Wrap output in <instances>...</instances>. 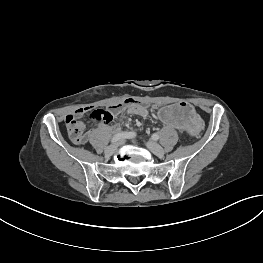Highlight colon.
I'll return each instance as SVG.
<instances>
[{
    "label": "colon",
    "instance_id": "1",
    "mask_svg": "<svg viewBox=\"0 0 263 263\" xmlns=\"http://www.w3.org/2000/svg\"><path fill=\"white\" fill-rule=\"evenodd\" d=\"M130 103L141 104L137 100L127 99L123 101L122 103H119L116 106L108 107L105 110H101V109L92 110L89 115V119L93 122L110 121L113 119V116H114V113L117 107L121 105L130 104ZM65 125L67 128L68 135L74 143L80 144V143L85 142L86 140L85 128L82 122L78 120V117H76L74 114L67 115L65 118Z\"/></svg>",
    "mask_w": 263,
    "mask_h": 263
}]
</instances>
